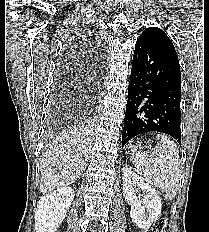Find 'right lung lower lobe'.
<instances>
[{"instance_id": "right-lung-lower-lobe-1", "label": "right lung lower lobe", "mask_w": 209, "mask_h": 232, "mask_svg": "<svg viewBox=\"0 0 209 232\" xmlns=\"http://www.w3.org/2000/svg\"><path fill=\"white\" fill-rule=\"evenodd\" d=\"M102 70H103L102 63L97 62V64H95V68H94L95 74L100 76L102 74Z\"/></svg>"}]
</instances>
